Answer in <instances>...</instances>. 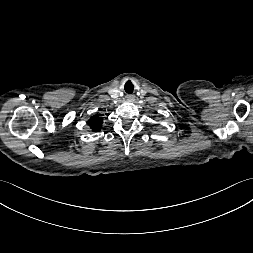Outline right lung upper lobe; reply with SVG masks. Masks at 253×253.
Listing matches in <instances>:
<instances>
[{
  "label": "right lung upper lobe",
  "instance_id": "cb5924a9",
  "mask_svg": "<svg viewBox=\"0 0 253 253\" xmlns=\"http://www.w3.org/2000/svg\"><path fill=\"white\" fill-rule=\"evenodd\" d=\"M102 123H103V121H102V119L98 115L93 116L88 121V125L91 127V129L94 132L100 131V129L102 127Z\"/></svg>",
  "mask_w": 253,
  "mask_h": 253
}]
</instances>
